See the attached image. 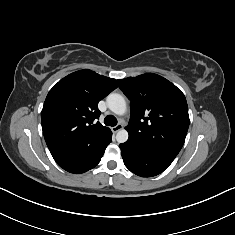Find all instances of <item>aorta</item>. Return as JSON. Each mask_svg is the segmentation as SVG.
<instances>
[{"instance_id": "obj_1", "label": "aorta", "mask_w": 235, "mask_h": 235, "mask_svg": "<svg viewBox=\"0 0 235 235\" xmlns=\"http://www.w3.org/2000/svg\"><path fill=\"white\" fill-rule=\"evenodd\" d=\"M108 108L116 115H124L127 107L125 99L118 93H111L106 99ZM128 132L126 129H121L116 134V140L118 143H124L128 140Z\"/></svg>"}]
</instances>
